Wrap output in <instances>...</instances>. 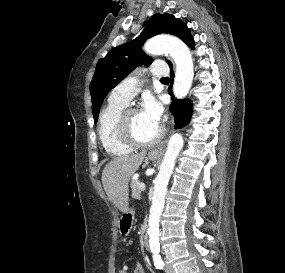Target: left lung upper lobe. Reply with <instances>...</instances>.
Listing matches in <instances>:
<instances>
[{"label":"left lung upper lobe","instance_id":"obj_1","mask_svg":"<svg viewBox=\"0 0 285 273\" xmlns=\"http://www.w3.org/2000/svg\"><path fill=\"white\" fill-rule=\"evenodd\" d=\"M144 25V30L137 38L115 47L98 62L90 84L94 123L98 120L100 107L108 92L137 66L149 65L152 62V59L142 50L147 37L167 33L173 34L185 42L191 36L185 23L168 13L155 14ZM153 28L154 30H152ZM168 63L171 64L169 61Z\"/></svg>","mask_w":285,"mask_h":273}]
</instances>
